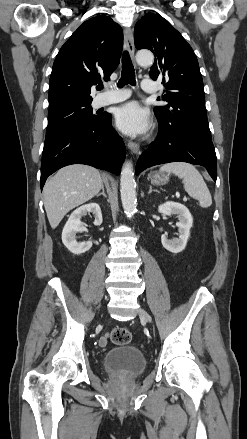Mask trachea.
Listing matches in <instances>:
<instances>
[{
  "instance_id": "1",
  "label": "trachea",
  "mask_w": 247,
  "mask_h": 439,
  "mask_svg": "<svg viewBox=\"0 0 247 439\" xmlns=\"http://www.w3.org/2000/svg\"><path fill=\"white\" fill-rule=\"evenodd\" d=\"M127 84L135 85V72L134 67L131 62L130 56L127 51L123 53L122 56V72L121 78L118 83V87H123ZM103 86H99L98 90H102Z\"/></svg>"
}]
</instances>
